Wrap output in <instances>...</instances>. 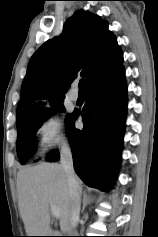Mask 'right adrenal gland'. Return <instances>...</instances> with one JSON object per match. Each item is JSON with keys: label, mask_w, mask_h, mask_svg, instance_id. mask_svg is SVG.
I'll list each match as a JSON object with an SVG mask.
<instances>
[{"label": "right adrenal gland", "mask_w": 158, "mask_h": 237, "mask_svg": "<svg viewBox=\"0 0 158 237\" xmlns=\"http://www.w3.org/2000/svg\"><path fill=\"white\" fill-rule=\"evenodd\" d=\"M92 198L90 196H88L86 193L83 194V198H82V210L81 212H84V209L86 207L87 204H90L92 202Z\"/></svg>", "instance_id": "1"}]
</instances>
